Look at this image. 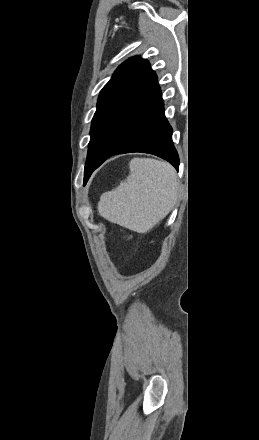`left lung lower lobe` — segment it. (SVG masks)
I'll return each instance as SVG.
<instances>
[{"instance_id": "obj_1", "label": "left lung lower lobe", "mask_w": 259, "mask_h": 440, "mask_svg": "<svg viewBox=\"0 0 259 440\" xmlns=\"http://www.w3.org/2000/svg\"><path fill=\"white\" fill-rule=\"evenodd\" d=\"M130 152L159 156L178 170L179 157L172 142V127L164 115V104L156 74L117 126L97 158L94 170L110 156Z\"/></svg>"}]
</instances>
